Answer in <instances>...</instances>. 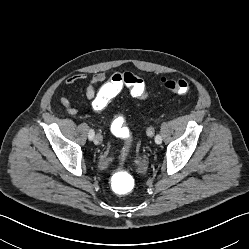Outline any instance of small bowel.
I'll return each instance as SVG.
<instances>
[{
    "label": "small bowel",
    "mask_w": 249,
    "mask_h": 249,
    "mask_svg": "<svg viewBox=\"0 0 249 249\" xmlns=\"http://www.w3.org/2000/svg\"><path fill=\"white\" fill-rule=\"evenodd\" d=\"M87 75L85 73H75L71 76H69L65 84L69 87L73 86L76 82L86 79ZM111 83L109 80H107V74L104 71H99L95 73L89 83L86 86L85 89V97L87 102L89 103L90 107L96 111L99 112L104 109L106 106V99L109 97L111 93ZM117 94H115L113 97H115ZM60 103L66 110V112L70 115H77L78 109L75 107L69 98L66 96L60 97ZM122 120L121 118L115 119L111 124V130L114 123L117 121ZM101 162L103 164H106L108 162V158L104 157ZM141 166H144V163H141Z\"/></svg>",
    "instance_id": "c3829d8e"
}]
</instances>
